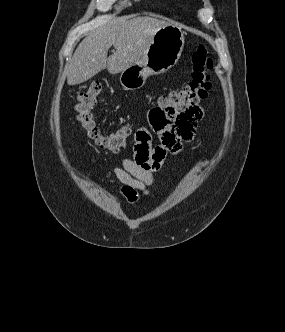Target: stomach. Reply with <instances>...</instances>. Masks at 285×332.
<instances>
[{
	"label": "stomach",
	"instance_id": "stomach-1",
	"mask_svg": "<svg viewBox=\"0 0 285 332\" xmlns=\"http://www.w3.org/2000/svg\"><path fill=\"white\" fill-rule=\"evenodd\" d=\"M184 32L170 24L153 37L148 50L138 62L121 72L120 84L125 90L141 88L150 75H159L171 69L184 48Z\"/></svg>",
	"mask_w": 285,
	"mask_h": 332
}]
</instances>
